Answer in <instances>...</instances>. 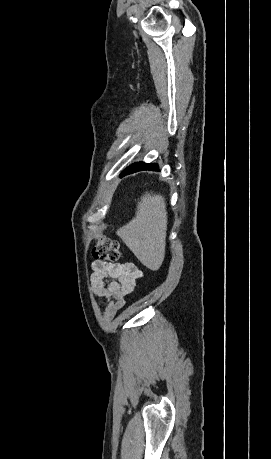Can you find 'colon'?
Wrapping results in <instances>:
<instances>
[{
	"label": "colon",
	"mask_w": 271,
	"mask_h": 459,
	"mask_svg": "<svg viewBox=\"0 0 271 459\" xmlns=\"http://www.w3.org/2000/svg\"><path fill=\"white\" fill-rule=\"evenodd\" d=\"M92 255L101 261H116L120 257V245L113 239L99 236L92 247Z\"/></svg>",
	"instance_id": "obj_1"
}]
</instances>
